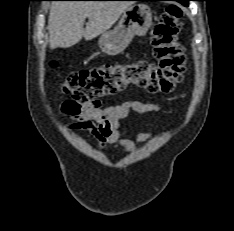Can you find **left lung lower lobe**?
I'll use <instances>...</instances> for the list:
<instances>
[{"label":"left lung lower lobe","mask_w":234,"mask_h":231,"mask_svg":"<svg viewBox=\"0 0 234 231\" xmlns=\"http://www.w3.org/2000/svg\"><path fill=\"white\" fill-rule=\"evenodd\" d=\"M143 1H157V0H143ZM175 1L180 2L179 0H175ZM180 3H182L185 6H188V2H180Z\"/></svg>","instance_id":"left-lung-lower-lobe-1"}]
</instances>
